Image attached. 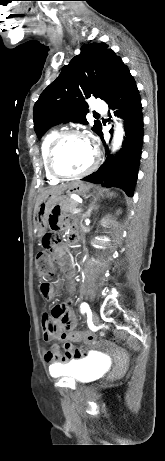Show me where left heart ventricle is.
<instances>
[{
  "instance_id": "1",
  "label": "left heart ventricle",
  "mask_w": 165,
  "mask_h": 461,
  "mask_svg": "<svg viewBox=\"0 0 165 461\" xmlns=\"http://www.w3.org/2000/svg\"><path fill=\"white\" fill-rule=\"evenodd\" d=\"M93 159L90 143L81 137H69L59 146L55 163L59 171L75 174L85 170Z\"/></svg>"
}]
</instances>
